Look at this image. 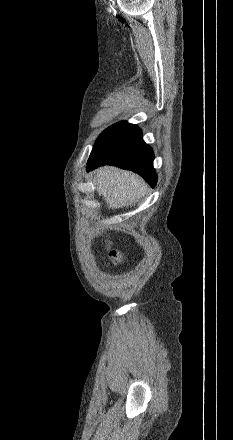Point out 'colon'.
I'll return each instance as SVG.
<instances>
[{
	"mask_svg": "<svg viewBox=\"0 0 233 440\" xmlns=\"http://www.w3.org/2000/svg\"><path fill=\"white\" fill-rule=\"evenodd\" d=\"M108 248H109V258L112 261V263L114 264L120 263L122 261L121 255L116 250L111 249L109 245Z\"/></svg>",
	"mask_w": 233,
	"mask_h": 440,
	"instance_id": "colon-1",
	"label": "colon"
}]
</instances>
